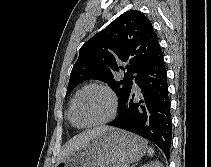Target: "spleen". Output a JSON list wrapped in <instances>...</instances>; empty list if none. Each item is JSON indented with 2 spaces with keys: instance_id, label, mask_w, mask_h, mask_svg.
Returning <instances> with one entry per match:
<instances>
[{
  "instance_id": "obj_1",
  "label": "spleen",
  "mask_w": 211,
  "mask_h": 167,
  "mask_svg": "<svg viewBox=\"0 0 211 167\" xmlns=\"http://www.w3.org/2000/svg\"><path fill=\"white\" fill-rule=\"evenodd\" d=\"M147 150H148V151H147L148 155H149V156H153V154H154L153 148L149 147Z\"/></svg>"
}]
</instances>
